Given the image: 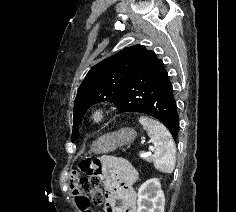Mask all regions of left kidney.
<instances>
[{
    "label": "left kidney",
    "instance_id": "1",
    "mask_svg": "<svg viewBox=\"0 0 236 212\" xmlns=\"http://www.w3.org/2000/svg\"><path fill=\"white\" fill-rule=\"evenodd\" d=\"M137 205V212H164L165 197L158 179H149L140 186Z\"/></svg>",
    "mask_w": 236,
    "mask_h": 212
}]
</instances>
